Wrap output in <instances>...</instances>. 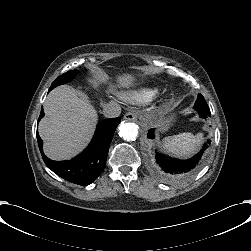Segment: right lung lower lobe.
<instances>
[{"mask_svg":"<svg viewBox=\"0 0 251 251\" xmlns=\"http://www.w3.org/2000/svg\"><path fill=\"white\" fill-rule=\"evenodd\" d=\"M44 116L43 108L38 119ZM121 119H105L97 125L89 146L77 157L69 161H53L42 151V140L37 132V140L43 160L48 168L61 178L78 185L91 184L106 166V159L114 132Z\"/></svg>","mask_w":251,"mask_h":251,"instance_id":"1","label":"right lung lower lobe"}]
</instances>
